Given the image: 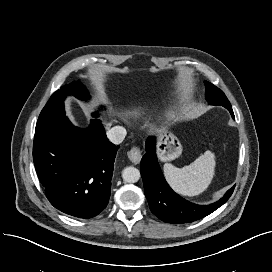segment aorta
<instances>
[{"label": "aorta", "instance_id": "obj_1", "mask_svg": "<svg viewBox=\"0 0 272 272\" xmlns=\"http://www.w3.org/2000/svg\"><path fill=\"white\" fill-rule=\"evenodd\" d=\"M124 181L135 183L140 179V171L135 167H126L122 172Z\"/></svg>", "mask_w": 272, "mask_h": 272}]
</instances>
